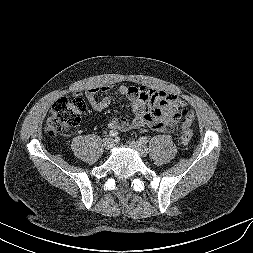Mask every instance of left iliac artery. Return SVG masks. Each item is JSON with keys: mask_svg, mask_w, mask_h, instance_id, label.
Segmentation results:
<instances>
[{"mask_svg": "<svg viewBox=\"0 0 253 253\" xmlns=\"http://www.w3.org/2000/svg\"><path fill=\"white\" fill-rule=\"evenodd\" d=\"M139 142L142 143V144H147L148 143V139H147V137L143 136V137L139 138Z\"/></svg>", "mask_w": 253, "mask_h": 253, "instance_id": "44dca946", "label": "left iliac artery"}]
</instances>
